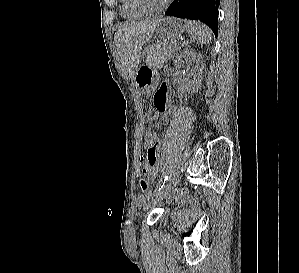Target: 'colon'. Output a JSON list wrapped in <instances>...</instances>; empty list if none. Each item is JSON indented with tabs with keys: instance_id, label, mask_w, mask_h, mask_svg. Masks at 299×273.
I'll return each mask as SVG.
<instances>
[{
	"instance_id": "obj_1",
	"label": "colon",
	"mask_w": 299,
	"mask_h": 273,
	"mask_svg": "<svg viewBox=\"0 0 299 273\" xmlns=\"http://www.w3.org/2000/svg\"><path fill=\"white\" fill-rule=\"evenodd\" d=\"M147 126L148 127L144 136L145 145L153 144L158 140V133L161 127L160 123L158 122ZM140 189L144 193L148 192V184L144 179L140 180ZM166 196L171 202L187 204L192 208H194L196 205V198L185 190H173L168 192Z\"/></svg>"
}]
</instances>
